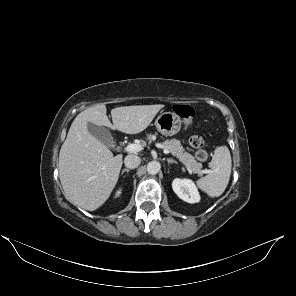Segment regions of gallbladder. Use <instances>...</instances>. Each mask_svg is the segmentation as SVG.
<instances>
[{
	"instance_id": "gallbladder-1",
	"label": "gallbladder",
	"mask_w": 296,
	"mask_h": 296,
	"mask_svg": "<svg viewBox=\"0 0 296 296\" xmlns=\"http://www.w3.org/2000/svg\"><path fill=\"white\" fill-rule=\"evenodd\" d=\"M89 132L101 141L104 145L112 147L114 145V140L111 133L104 127L97 126L93 123H88L87 125Z\"/></svg>"
}]
</instances>
